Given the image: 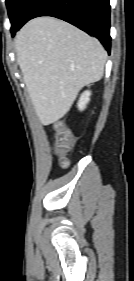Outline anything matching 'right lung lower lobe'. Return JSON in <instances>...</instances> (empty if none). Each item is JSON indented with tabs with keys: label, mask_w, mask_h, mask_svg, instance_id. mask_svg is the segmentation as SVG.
<instances>
[{
	"label": "right lung lower lobe",
	"mask_w": 134,
	"mask_h": 281,
	"mask_svg": "<svg viewBox=\"0 0 134 281\" xmlns=\"http://www.w3.org/2000/svg\"><path fill=\"white\" fill-rule=\"evenodd\" d=\"M39 16H53L73 24L98 38L110 54L109 0H30L12 36L27 21Z\"/></svg>",
	"instance_id": "right-lung-lower-lobe-1"
}]
</instances>
